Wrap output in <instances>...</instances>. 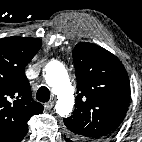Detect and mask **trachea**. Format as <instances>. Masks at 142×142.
<instances>
[{"label":"trachea","instance_id":"3493384b","mask_svg":"<svg viewBox=\"0 0 142 142\" xmlns=\"http://www.w3.org/2000/svg\"><path fill=\"white\" fill-rule=\"evenodd\" d=\"M36 99L40 102L49 101V99H50L49 89L45 86H41L36 93Z\"/></svg>","mask_w":142,"mask_h":142}]
</instances>
